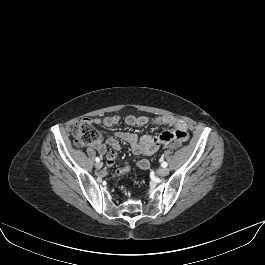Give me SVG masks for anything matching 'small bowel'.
Masks as SVG:
<instances>
[{
	"label": "small bowel",
	"instance_id": "c3829d8e",
	"mask_svg": "<svg viewBox=\"0 0 265 265\" xmlns=\"http://www.w3.org/2000/svg\"><path fill=\"white\" fill-rule=\"evenodd\" d=\"M89 121L94 125L112 127L120 122V117L114 115L102 119L93 118ZM149 121L150 119L147 116L129 115L125 119L126 124L130 126H143L149 123ZM154 123L167 126L169 129L163 131L157 136L143 135L141 137H138L134 133L118 131L114 134V137L107 139L106 142H96L94 144V148L100 154L106 156V164L111 167L114 165L117 157V151L120 149V141L127 142L135 155L150 156L157 152L168 139H175L182 143L189 137L187 125L182 120L171 116H159L154 119ZM107 146L111 148L108 152ZM137 166L138 168L145 170L149 168V162L146 159H141L137 162Z\"/></svg>",
	"mask_w": 265,
	"mask_h": 265
}]
</instances>
